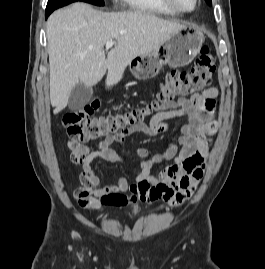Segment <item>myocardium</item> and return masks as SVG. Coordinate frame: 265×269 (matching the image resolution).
Instances as JSON below:
<instances>
[{"mask_svg": "<svg viewBox=\"0 0 265 269\" xmlns=\"http://www.w3.org/2000/svg\"><path fill=\"white\" fill-rule=\"evenodd\" d=\"M163 4L171 8L172 10L178 12V13H190L194 11L198 5L199 0H194L193 7L191 9H185L177 4L175 0H161Z\"/></svg>", "mask_w": 265, "mask_h": 269, "instance_id": "myocardium-1", "label": "myocardium"}]
</instances>
